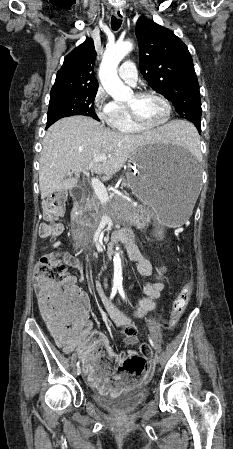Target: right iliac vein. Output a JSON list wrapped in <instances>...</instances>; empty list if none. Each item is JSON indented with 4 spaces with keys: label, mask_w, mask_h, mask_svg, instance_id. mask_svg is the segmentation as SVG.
Masks as SVG:
<instances>
[{
    "label": "right iliac vein",
    "mask_w": 233,
    "mask_h": 449,
    "mask_svg": "<svg viewBox=\"0 0 233 449\" xmlns=\"http://www.w3.org/2000/svg\"><path fill=\"white\" fill-rule=\"evenodd\" d=\"M76 374H77V375H80V374H81V368H80V367H77Z\"/></svg>",
    "instance_id": "right-iliac-vein-1"
}]
</instances>
